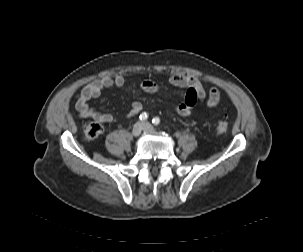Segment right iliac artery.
<instances>
[{
    "label": "right iliac artery",
    "mask_w": 303,
    "mask_h": 252,
    "mask_svg": "<svg viewBox=\"0 0 303 252\" xmlns=\"http://www.w3.org/2000/svg\"><path fill=\"white\" fill-rule=\"evenodd\" d=\"M139 118L141 121H145L148 118V114L146 112H143L140 114Z\"/></svg>",
    "instance_id": "right-iliac-artery-1"
}]
</instances>
